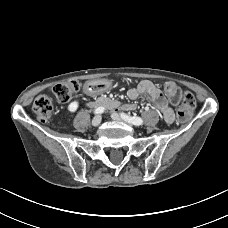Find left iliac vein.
I'll return each mask as SVG.
<instances>
[{
	"mask_svg": "<svg viewBox=\"0 0 228 228\" xmlns=\"http://www.w3.org/2000/svg\"><path fill=\"white\" fill-rule=\"evenodd\" d=\"M111 118L115 121H122V122H125L127 124H131L130 122H128L127 120L123 119L119 114L117 113H112L111 114Z\"/></svg>",
	"mask_w": 228,
	"mask_h": 228,
	"instance_id": "1",
	"label": "left iliac vein"
}]
</instances>
